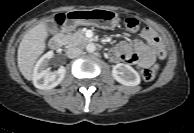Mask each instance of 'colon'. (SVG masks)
<instances>
[{"mask_svg": "<svg viewBox=\"0 0 194 133\" xmlns=\"http://www.w3.org/2000/svg\"><path fill=\"white\" fill-rule=\"evenodd\" d=\"M124 26L127 30L135 32L139 29V22L134 18H127L124 21ZM156 72H157L156 67L146 68L142 70L141 75L145 81H151L155 77Z\"/></svg>", "mask_w": 194, "mask_h": 133, "instance_id": "5ec220e1", "label": "colon"}]
</instances>
